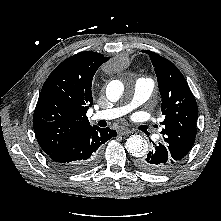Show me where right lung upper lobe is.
<instances>
[{"label": "right lung upper lobe", "instance_id": "obj_1", "mask_svg": "<svg viewBox=\"0 0 221 221\" xmlns=\"http://www.w3.org/2000/svg\"><path fill=\"white\" fill-rule=\"evenodd\" d=\"M109 57L80 52L63 61L45 81L33 115L36 139L48 155L91 127L92 79Z\"/></svg>", "mask_w": 221, "mask_h": 221}]
</instances>
